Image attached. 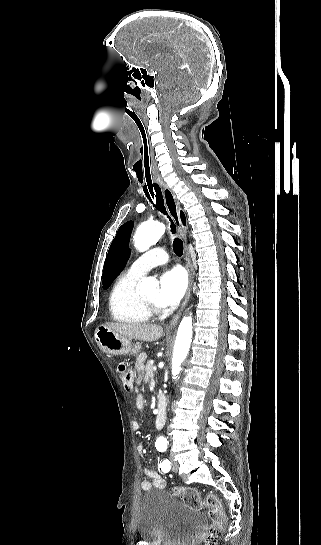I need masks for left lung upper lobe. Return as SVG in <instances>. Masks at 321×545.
<instances>
[{
  "mask_svg": "<svg viewBox=\"0 0 321 545\" xmlns=\"http://www.w3.org/2000/svg\"><path fill=\"white\" fill-rule=\"evenodd\" d=\"M133 222L128 221L119 229L109 248L103 273V288L108 289L120 274L129 258V240Z\"/></svg>",
  "mask_w": 321,
  "mask_h": 545,
  "instance_id": "1",
  "label": "left lung upper lobe"
}]
</instances>
